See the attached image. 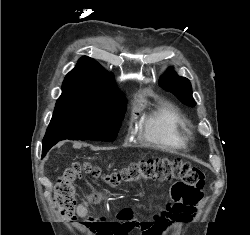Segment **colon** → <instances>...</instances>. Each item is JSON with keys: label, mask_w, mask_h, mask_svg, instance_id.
Wrapping results in <instances>:
<instances>
[{"label": "colon", "mask_w": 250, "mask_h": 235, "mask_svg": "<svg viewBox=\"0 0 250 235\" xmlns=\"http://www.w3.org/2000/svg\"><path fill=\"white\" fill-rule=\"evenodd\" d=\"M82 174L102 176L103 180L112 186L141 178L160 182L176 180L171 188V199L175 203H183L187 206L198 205L205 186L203 172L197 166L182 159L141 160L131 163L119 172L103 175L98 167L90 163L73 162L59 176L53 199L58 212L67 221L76 220L77 200L74 181ZM96 199L97 196L94 195L93 203ZM82 223L89 225L97 235H129L135 229L143 230V235H159L162 230L160 222H139L127 208L117 210L110 215L90 216Z\"/></svg>", "instance_id": "obj_1"}]
</instances>
